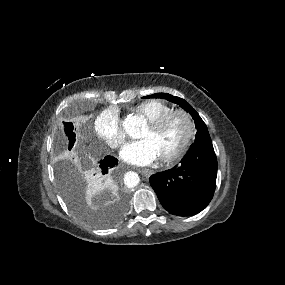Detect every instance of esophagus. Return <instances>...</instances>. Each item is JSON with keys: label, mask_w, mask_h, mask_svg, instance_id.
Wrapping results in <instances>:
<instances>
[{"label": "esophagus", "mask_w": 285, "mask_h": 285, "mask_svg": "<svg viewBox=\"0 0 285 285\" xmlns=\"http://www.w3.org/2000/svg\"><path fill=\"white\" fill-rule=\"evenodd\" d=\"M140 173H142V175H144L145 177H149L153 174V171L150 169H146V168H142L138 170Z\"/></svg>", "instance_id": "esophagus-1"}]
</instances>
